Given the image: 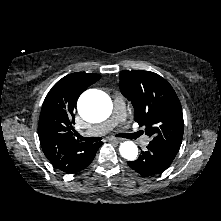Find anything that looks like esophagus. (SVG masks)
<instances>
[{"mask_svg": "<svg viewBox=\"0 0 221 221\" xmlns=\"http://www.w3.org/2000/svg\"><path fill=\"white\" fill-rule=\"evenodd\" d=\"M111 143H116V144H118V143H121L123 140L122 139H115V138H113V139H110L109 140Z\"/></svg>", "mask_w": 221, "mask_h": 221, "instance_id": "1", "label": "esophagus"}]
</instances>
